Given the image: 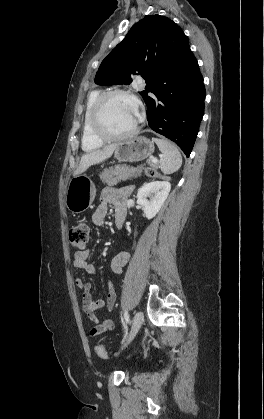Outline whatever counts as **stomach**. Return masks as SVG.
<instances>
[{
	"label": "stomach",
	"mask_w": 264,
	"mask_h": 419,
	"mask_svg": "<svg viewBox=\"0 0 264 419\" xmlns=\"http://www.w3.org/2000/svg\"><path fill=\"white\" fill-rule=\"evenodd\" d=\"M154 143L148 138L139 136L117 144L114 156L120 162H137L150 157L154 152ZM95 185L86 175L73 176L70 180L66 206L72 213H81L87 210L94 201Z\"/></svg>",
	"instance_id": "0dacf381"
}]
</instances>
